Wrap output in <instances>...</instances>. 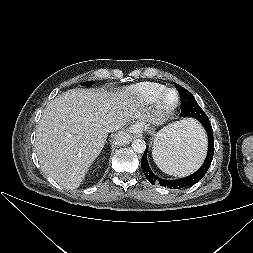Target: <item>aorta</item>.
<instances>
[{
	"mask_svg": "<svg viewBox=\"0 0 253 253\" xmlns=\"http://www.w3.org/2000/svg\"><path fill=\"white\" fill-rule=\"evenodd\" d=\"M132 149L137 153H143L146 149V143L142 139H135L132 142Z\"/></svg>",
	"mask_w": 253,
	"mask_h": 253,
	"instance_id": "1",
	"label": "aorta"
}]
</instances>
